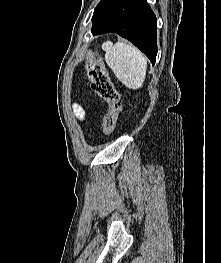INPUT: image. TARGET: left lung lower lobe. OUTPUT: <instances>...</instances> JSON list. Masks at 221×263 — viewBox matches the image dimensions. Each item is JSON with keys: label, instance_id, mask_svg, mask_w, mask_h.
<instances>
[{"label": "left lung lower lobe", "instance_id": "0a47b994", "mask_svg": "<svg viewBox=\"0 0 221 263\" xmlns=\"http://www.w3.org/2000/svg\"><path fill=\"white\" fill-rule=\"evenodd\" d=\"M92 33H117L155 64L157 20L146 0H101L92 17Z\"/></svg>", "mask_w": 221, "mask_h": 263}]
</instances>
